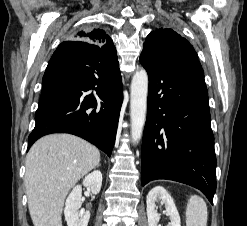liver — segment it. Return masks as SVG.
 Masks as SVG:
<instances>
[{"label": "liver", "instance_id": "obj_1", "mask_svg": "<svg viewBox=\"0 0 247 226\" xmlns=\"http://www.w3.org/2000/svg\"><path fill=\"white\" fill-rule=\"evenodd\" d=\"M99 162V150L74 135L39 139L26 157L25 187L33 225L62 226L66 195Z\"/></svg>", "mask_w": 247, "mask_h": 226}]
</instances>
